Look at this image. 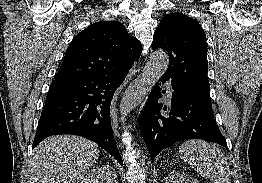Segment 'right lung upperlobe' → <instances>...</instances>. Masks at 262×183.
I'll return each instance as SVG.
<instances>
[{"instance_id": "right-lung-upper-lobe-1", "label": "right lung upper lobe", "mask_w": 262, "mask_h": 183, "mask_svg": "<svg viewBox=\"0 0 262 183\" xmlns=\"http://www.w3.org/2000/svg\"><path fill=\"white\" fill-rule=\"evenodd\" d=\"M141 50L140 41L129 35L121 23L96 22L72 40L54 81L126 72L140 57Z\"/></svg>"}]
</instances>
